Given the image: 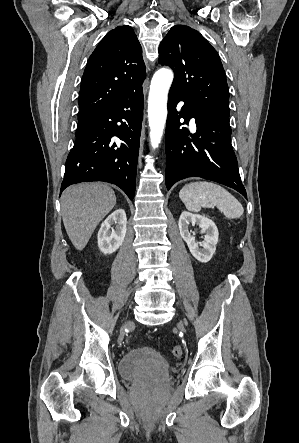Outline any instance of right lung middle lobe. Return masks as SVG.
I'll return each instance as SVG.
<instances>
[{
    "instance_id": "obj_1",
    "label": "right lung middle lobe",
    "mask_w": 299,
    "mask_h": 443,
    "mask_svg": "<svg viewBox=\"0 0 299 443\" xmlns=\"http://www.w3.org/2000/svg\"><path fill=\"white\" fill-rule=\"evenodd\" d=\"M85 122L78 123L76 135L83 129Z\"/></svg>"
}]
</instances>
